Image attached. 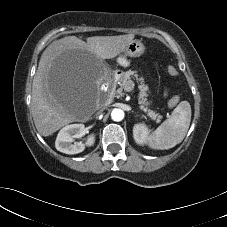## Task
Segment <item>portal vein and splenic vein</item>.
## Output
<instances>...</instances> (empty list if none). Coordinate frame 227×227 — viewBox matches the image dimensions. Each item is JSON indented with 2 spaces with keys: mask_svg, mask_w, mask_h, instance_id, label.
<instances>
[{
  "mask_svg": "<svg viewBox=\"0 0 227 227\" xmlns=\"http://www.w3.org/2000/svg\"><path fill=\"white\" fill-rule=\"evenodd\" d=\"M134 88V84H132L131 86H129L128 88H126L127 92H131Z\"/></svg>",
  "mask_w": 227,
  "mask_h": 227,
  "instance_id": "1",
  "label": "portal vein and splenic vein"
}]
</instances>
